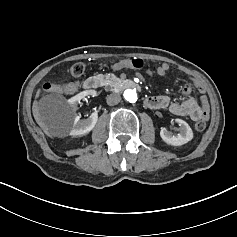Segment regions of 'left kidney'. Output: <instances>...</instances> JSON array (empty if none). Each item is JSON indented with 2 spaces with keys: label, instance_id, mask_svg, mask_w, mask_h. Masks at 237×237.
Wrapping results in <instances>:
<instances>
[{
  "label": "left kidney",
  "instance_id": "obj_1",
  "mask_svg": "<svg viewBox=\"0 0 237 237\" xmlns=\"http://www.w3.org/2000/svg\"><path fill=\"white\" fill-rule=\"evenodd\" d=\"M176 122L179 124V133L173 134L171 131H168L166 128H162L160 131V136L164 142L173 146H181L186 144L193 138V131L191 127L182 119H176Z\"/></svg>",
  "mask_w": 237,
  "mask_h": 237
}]
</instances>
